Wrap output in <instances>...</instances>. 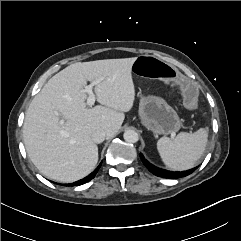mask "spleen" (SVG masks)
Segmentation results:
<instances>
[{
  "mask_svg": "<svg viewBox=\"0 0 241 241\" xmlns=\"http://www.w3.org/2000/svg\"><path fill=\"white\" fill-rule=\"evenodd\" d=\"M208 141V128H200L194 133H179L175 139L162 137L157 149L164 164L174 171L194 167L205 151Z\"/></svg>",
  "mask_w": 241,
  "mask_h": 241,
  "instance_id": "spleen-1",
  "label": "spleen"
}]
</instances>
